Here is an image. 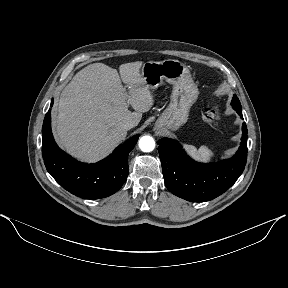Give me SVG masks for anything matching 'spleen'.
<instances>
[{"label":"spleen","mask_w":288,"mask_h":288,"mask_svg":"<svg viewBox=\"0 0 288 288\" xmlns=\"http://www.w3.org/2000/svg\"><path fill=\"white\" fill-rule=\"evenodd\" d=\"M184 148L192 158L202 162H209L214 156L213 151L207 146H201L199 149H197L193 145L184 144Z\"/></svg>","instance_id":"1"}]
</instances>
